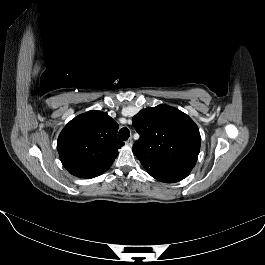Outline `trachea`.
I'll return each instance as SVG.
<instances>
[{
  "instance_id": "trachea-1",
  "label": "trachea",
  "mask_w": 265,
  "mask_h": 265,
  "mask_svg": "<svg viewBox=\"0 0 265 265\" xmlns=\"http://www.w3.org/2000/svg\"><path fill=\"white\" fill-rule=\"evenodd\" d=\"M130 136V132L129 129L127 127H123L120 129L119 133H118V138L120 140L126 141Z\"/></svg>"
}]
</instances>
